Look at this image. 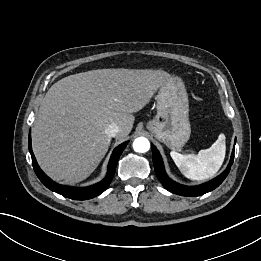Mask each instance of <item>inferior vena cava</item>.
Here are the masks:
<instances>
[{"label":"inferior vena cava","instance_id":"obj_1","mask_svg":"<svg viewBox=\"0 0 261 261\" xmlns=\"http://www.w3.org/2000/svg\"><path fill=\"white\" fill-rule=\"evenodd\" d=\"M119 132V127L117 124L115 123H111L107 126V128L105 129V133L109 136V137H115L117 135V133Z\"/></svg>","mask_w":261,"mask_h":261}]
</instances>
